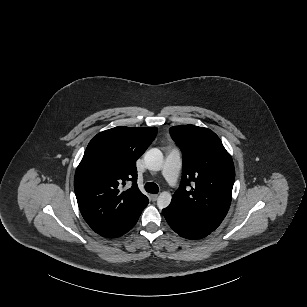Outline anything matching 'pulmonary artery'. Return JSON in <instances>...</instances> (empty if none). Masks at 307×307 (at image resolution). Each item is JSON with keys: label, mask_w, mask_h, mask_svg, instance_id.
Instances as JSON below:
<instances>
[{"label": "pulmonary artery", "mask_w": 307, "mask_h": 307, "mask_svg": "<svg viewBox=\"0 0 307 307\" xmlns=\"http://www.w3.org/2000/svg\"><path fill=\"white\" fill-rule=\"evenodd\" d=\"M183 168V153L181 147L173 143L169 146L167 157L163 170L155 174L159 179L166 182L168 186L175 188L179 186L181 179L178 174H180Z\"/></svg>", "instance_id": "pulmonary-artery-1"}]
</instances>
